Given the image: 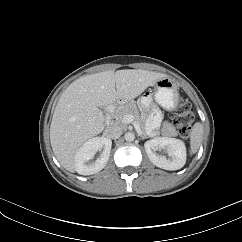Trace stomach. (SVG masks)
<instances>
[{
  "instance_id": "obj_1",
  "label": "stomach",
  "mask_w": 242,
  "mask_h": 242,
  "mask_svg": "<svg viewBox=\"0 0 242 242\" xmlns=\"http://www.w3.org/2000/svg\"><path fill=\"white\" fill-rule=\"evenodd\" d=\"M155 100L167 110L174 109L178 104V85L169 77L159 79L155 84Z\"/></svg>"
}]
</instances>
